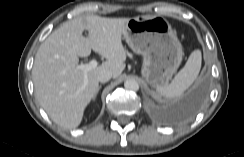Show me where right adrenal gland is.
Instances as JSON below:
<instances>
[{
    "mask_svg": "<svg viewBox=\"0 0 244 157\" xmlns=\"http://www.w3.org/2000/svg\"><path fill=\"white\" fill-rule=\"evenodd\" d=\"M100 88H101V86H99V88H98L97 92L95 93V95H94V97H93V100H95V99H96L97 93H98V91H99V89H100Z\"/></svg>",
    "mask_w": 244,
    "mask_h": 157,
    "instance_id": "1",
    "label": "right adrenal gland"
}]
</instances>
